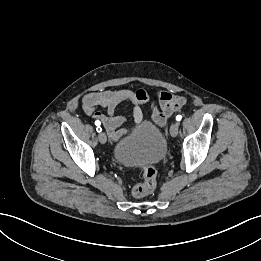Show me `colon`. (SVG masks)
I'll list each match as a JSON object with an SVG mask.
<instances>
[{"instance_id": "1", "label": "colon", "mask_w": 261, "mask_h": 261, "mask_svg": "<svg viewBox=\"0 0 261 261\" xmlns=\"http://www.w3.org/2000/svg\"><path fill=\"white\" fill-rule=\"evenodd\" d=\"M142 182L136 184L132 188V196L135 198H142L152 193L157 186V171L151 166L147 165L141 168Z\"/></svg>"}]
</instances>
